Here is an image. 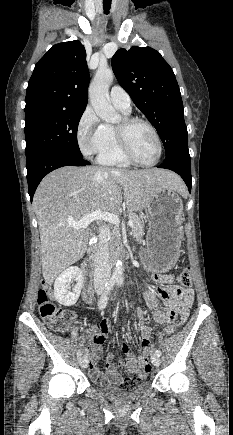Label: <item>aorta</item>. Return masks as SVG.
<instances>
[{"label": "aorta", "instance_id": "1", "mask_svg": "<svg viewBox=\"0 0 233 435\" xmlns=\"http://www.w3.org/2000/svg\"><path fill=\"white\" fill-rule=\"evenodd\" d=\"M114 78L111 68H98L89 87V101L95 113L105 122L116 123L121 116L112 107L109 99V87ZM123 276V262L118 260L113 272V278L121 281Z\"/></svg>", "mask_w": 233, "mask_h": 435}]
</instances>
